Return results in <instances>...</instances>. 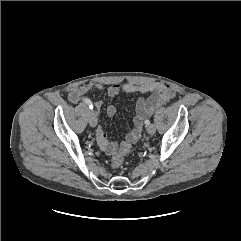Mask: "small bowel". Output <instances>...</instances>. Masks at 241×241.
<instances>
[{
    "instance_id": "c3829d8e",
    "label": "small bowel",
    "mask_w": 241,
    "mask_h": 241,
    "mask_svg": "<svg viewBox=\"0 0 241 241\" xmlns=\"http://www.w3.org/2000/svg\"><path fill=\"white\" fill-rule=\"evenodd\" d=\"M104 91L105 87L99 83H90L74 87L69 95L68 99L71 103H78L82 97L89 91ZM106 92L110 97H118L121 93H137L152 95L149 98L141 97L136 104V114L133 118V128L126 135L125 140L121 144H117L108 139L104 129L98 126L96 129V140L99 147L108 155L114 154L117 150L122 149L124 144H134L138 141L141 135L143 122L145 118L151 115V113L159 106L167 103L175 96L174 89L163 83H148L143 85H135L132 83H122L111 85L106 88ZM84 99V98H83ZM97 110L102 107V102L97 101L94 103ZM117 112V107L114 104H110L106 107V113L108 116H114Z\"/></svg>"
}]
</instances>
